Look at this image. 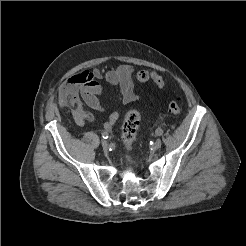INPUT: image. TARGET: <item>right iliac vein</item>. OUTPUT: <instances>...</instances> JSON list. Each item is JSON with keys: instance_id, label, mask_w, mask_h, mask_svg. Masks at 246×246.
Returning <instances> with one entry per match:
<instances>
[{"instance_id": "obj_1", "label": "right iliac vein", "mask_w": 246, "mask_h": 246, "mask_svg": "<svg viewBox=\"0 0 246 246\" xmlns=\"http://www.w3.org/2000/svg\"><path fill=\"white\" fill-rule=\"evenodd\" d=\"M101 145H102L103 149H107L108 148V142L106 140H102L101 141Z\"/></svg>"}]
</instances>
